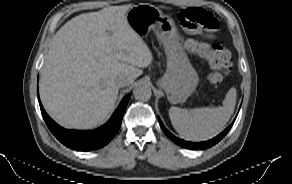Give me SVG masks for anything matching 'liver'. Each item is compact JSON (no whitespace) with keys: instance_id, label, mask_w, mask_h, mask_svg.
<instances>
[{"instance_id":"obj_1","label":"liver","mask_w":292,"mask_h":184,"mask_svg":"<svg viewBox=\"0 0 292 184\" xmlns=\"http://www.w3.org/2000/svg\"><path fill=\"white\" fill-rule=\"evenodd\" d=\"M131 6L81 14L54 36L39 84L47 113L69 129H89L115 107L119 78L131 84L152 63L153 55L129 26ZM128 84V85H129Z\"/></svg>"}]
</instances>
